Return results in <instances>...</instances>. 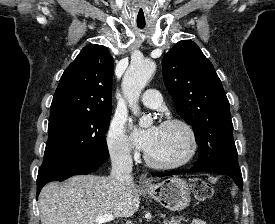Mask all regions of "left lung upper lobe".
<instances>
[{
	"label": "left lung upper lobe",
	"mask_w": 275,
	"mask_h": 224,
	"mask_svg": "<svg viewBox=\"0 0 275 224\" xmlns=\"http://www.w3.org/2000/svg\"><path fill=\"white\" fill-rule=\"evenodd\" d=\"M163 79L183 120L193 127L208 171L241 172L229 101L211 62L196 43L179 41L162 60Z\"/></svg>",
	"instance_id": "1"
}]
</instances>
